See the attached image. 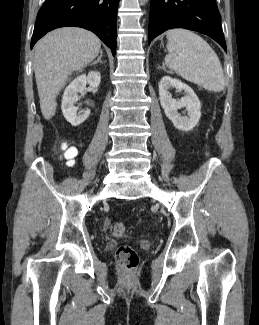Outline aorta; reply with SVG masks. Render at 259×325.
Returning <instances> with one entry per match:
<instances>
[{"mask_svg": "<svg viewBox=\"0 0 259 325\" xmlns=\"http://www.w3.org/2000/svg\"><path fill=\"white\" fill-rule=\"evenodd\" d=\"M144 3L147 2L148 0H142Z\"/></svg>", "mask_w": 259, "mask_h": 325, "instance_id": "aorta-1", "label": "aorta"}]
</instances>
